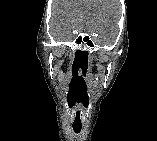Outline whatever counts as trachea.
Listing matches in <instances>:
<instances>
[{
  "label": "trachea",
  "instance_id": "3493384b",
  "mask_svg": "<svg viewBox=\"0 0 157 141\" xmlns=\"http://www.w3.org/2000/svg\"><path fill=\"white\" fill-rule=\"evenodd\" d=\"M82 126H73V130L76 134H79L81 132Z\"/></svg>",
  "mask_w": 157,
  "mask_h": 141
}]
</instances>
